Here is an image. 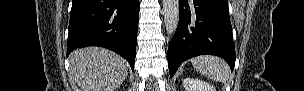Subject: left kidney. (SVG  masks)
Wrapping results in <instances>:
<instances>
[{"label":"left kidney","mask_w":304,"mask_h":91,"mask_svg":"<svg viewBox=\"0 0 304 91\" xmlns=\"http://www.w3.org/2000/svg\"><path fill=\"white\" fill-rule=\"evenodd\" d=\"M182 84L185 91H216L211 84L195 78H185Z\"/></svg>","instance_id":"1"}]
</instances>
